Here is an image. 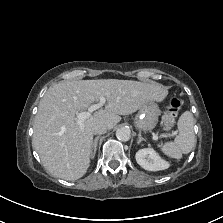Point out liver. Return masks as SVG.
I'll list each match as a JSON object with an SVG mask.
<instances>
[{"mask_svg":"<svg viewBox=\"0 0 223 223\" xmlns=\"http://www.w3.org/2000/svg\"><path fill=\"white\" fill-rule=\"evenodd\" d=\"M167 95L168 91L158 84L132 80L59 82L40 101L32 146L52 176L77 180L90 165L94 125L104 124L110 130L120 122V115L132 114L145 103L162 101ZM101 96L106 100L105 108L78 125L76 113L87 110Z\"/></svg>","mask_w":223,"mask_h":223,"instance_id":"6515ba94","label":"liver"}]
</instances>
